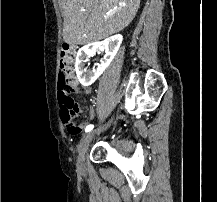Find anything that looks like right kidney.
I'll return each instance as SVG.
<instances>
[{
    "mask_svg": "<svg viewBox=\"0 0 217 202\" xmlns=\"http://www.w3.org/2000/svg\"><path fill=\"white\" fill-rule=\"evenodd\" d=\"M122 40L123 38L121 34H117V36L106 38L103 42H94V44H87V46L80 48L76 56L75 72L82 86H91V84L95 82L96 78H99L100 74L108 68L110 62H112L114 56H116L120 44H122ZM100 46H103L105 50V56L102 58L100 64V70H97V72L87 70L85 66L86 62H89V58L95 54L97 48H100Z\"/></svg>",
    "mask_w": 217,
    "mask_h": 202,
    "instance_id": "ca27d5eb",
    "label": "right kidney"
}]
</instances>
